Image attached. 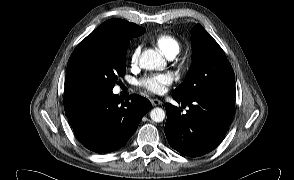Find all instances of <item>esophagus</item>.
Returning a JSON list of instances; mask_svg holds the SVG:
<instances>
[{"mask_svg":"<svg viewBox=\"0 0 294 180\" xmlns=\"http://www.w3.org/2000/svg\"><path fill=\"white\" fill-rule=\"evenodd\" d=\"M151 103L153 106H158L162 104V102L159 99H152Z\"/></svg>","mask_w":294,"mask_h":180,"instance_id":"34e87169","label":"esophagus"}]
</instances>
